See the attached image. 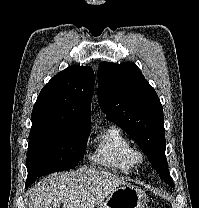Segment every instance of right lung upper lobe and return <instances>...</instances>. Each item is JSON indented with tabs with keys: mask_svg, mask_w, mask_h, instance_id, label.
Segmentation results:
<instances>
[{
	"mask_svg": "<svg viewBox=\"0 0 199 208\" xmlns=\"http://www.w3.org/2000/svg\"><path fill=\"white\" fill-rule=\"evenodd\" d=\"M94 80L93 70L84 66H70L56 74L41 90L32 121L90 125Z\"/></svg>",
	"mask_w": 199,
	"mask_h": 208,
	"instance_id": "cb5924a9",
	"label": "right lung upper lobe"
}]
</instances>
